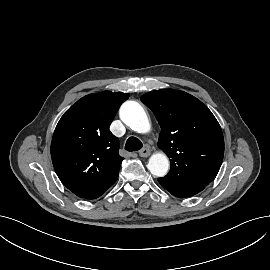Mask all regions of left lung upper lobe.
<instances>
[{
	"instance_id": "1",
	"label": "left lung upper lobe",
	"mask_w": 270,
	"mask_h": 270,
	"mask_svg": "<svg viewBox=\"0 0 270 270\" xmlns=\"http://www.w3.org/2000/svg\"><path fill=\"white\" fill-rule=\"evenodd\" d=\"M161 126L158 146L170 158V172L159 183L183 189L204 187L217 175L224 155L221 127L194 96L160 89L141 96Z\"/></svg>"
}]
</instances>
